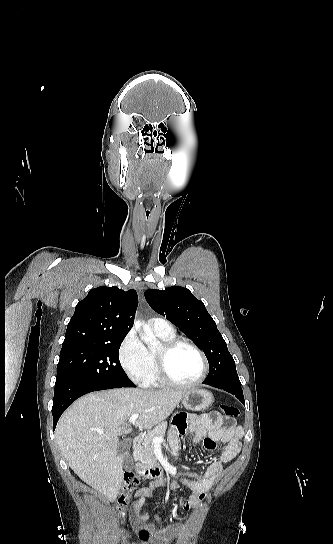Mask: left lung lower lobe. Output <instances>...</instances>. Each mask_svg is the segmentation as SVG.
Masks as SVG:
<instances>
[{
	"instance_id": "0a47b994",
	"label": "left lung lower lobe",
	"mask_w": 333,
	"mask_h": 544,
	"mask_svg": "<svg viewBox=\"0 0 333 544\" xmlns=\"http://www.w3.org/2000/svg\"><path fill=\"white\" fill-rule=\"evenodd\" d=\"M203 384L225 390L235 395L242 402V404L245 405L241 383L233 382V381H220V382H213V383L203 382Z\"/></svg>"
}]
</instances>
